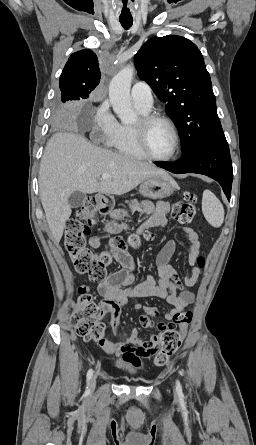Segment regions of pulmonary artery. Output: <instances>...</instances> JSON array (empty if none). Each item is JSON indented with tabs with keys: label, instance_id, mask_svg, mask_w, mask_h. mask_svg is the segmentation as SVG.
I'll return each mask as SVG.
<instances>
[{
	"label": "pulmonary artery",
	"instance_id": "obj_1",
	"mask_svg": "<svg viewBox=\"0 0 256 445\" xmlns=\"http://www.w3.org/2000/svg\"><path fill=\"white\" fill-rule=\"evenodd\" d=\"M131 99L137 108L149 111L153 105L151 88L144 82L134 84L131 89Z\"/></svg>",
	"mask_w": 256,
	"mask_h": 445
}]
</instances>
